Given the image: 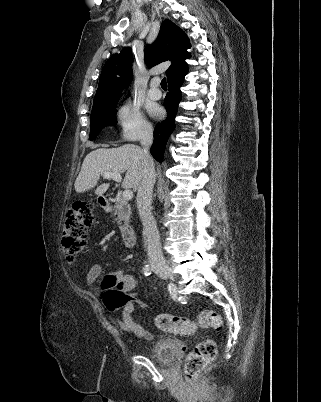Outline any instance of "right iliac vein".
Segmentation results:
<instances>
[{"instance_id": "obj_1", "label": "right iliac vein", "mask_w": 321, "mask_h": 402, "mask_svg": "<svg viewBox=\"0 0 321 402\" xmlns=\"http://www.w3.org/2000/svg\"><path fill=\"white\" fill-rule=\"evenodd\" d=\"M158 271L169 276L170 278H173L172 270L169 267H162Z\"/></svg>"}]
</instances>
